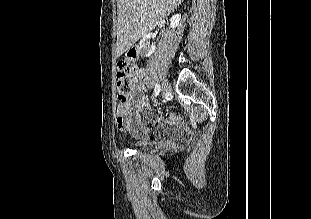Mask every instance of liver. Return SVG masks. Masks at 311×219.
I'll return each mask as SVG.
<instances>
[{"label":"liver","mask_w":311,"mask_h":219,"mask_svg":"<svg viewBox=\"0 0 311 219\" xmlns=\"http://www.w3.org/2000/svg\"><path fill=\"white\" fill-rule=\"evenodd\" d=\"M182 2L183 0H118L116 55L120 56L127 51Z\"/></svg>","instance_id":"6515ba94"}]
</instances>
